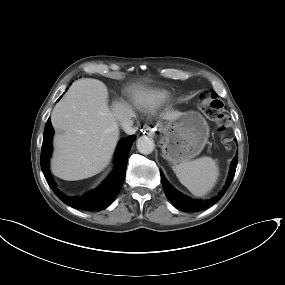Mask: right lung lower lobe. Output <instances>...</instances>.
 <instances>
[{
    "label": "right lung lower lobe",
    "instance_id": "1",
    "mask_svg": "<svg viewBox=\"0 0 285 285\" xmlns=\"http://www.w3.org/2000/svg\"><path fill=\"white\" fill-rule=\"evenodd\" d=\"M53 133L51 120L48 119L44 130L40 163L45 179L53 192L64 203L83 211H100L107 208L114 201L123 185L129 151L136 136L130 135L119 141L114 158L115 168L99 187L83 196L73 198L65 196L57 189L49 171Z\"/></svg>",
    "mask_w": 285,
    "mask_h": 285
}]
</instances>
